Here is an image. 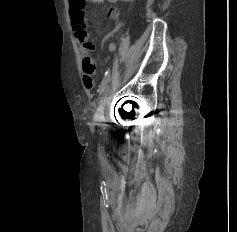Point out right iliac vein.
<instances>
[{"mask_svg":"<svg viewBox=\"0 0 237 232\" xmlns=\"http://www.w3.org/2000/svg\"><path fill=\"white\" fill-rule=\"evenodd\" d=\"M108 96H109V87L106 88L99 102V106L95 114V118L97 120H101L104 117V110L108 101Z\"/></svg>","mask_w":237,"mask_h":232,"instance_id":"obj_1","label":"right iliac vein"}]
</instances>
